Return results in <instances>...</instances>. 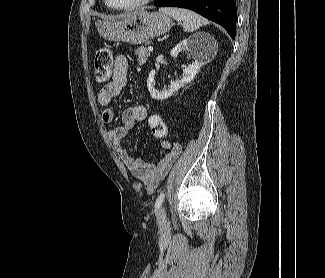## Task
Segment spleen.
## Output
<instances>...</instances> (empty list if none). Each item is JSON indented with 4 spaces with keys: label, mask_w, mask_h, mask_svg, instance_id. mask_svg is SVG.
Returning a JSON list of instances; mask_svg holds the SVG:
<instances>
[{
    "label": "spleen",
    "mask_w": 325,
    "mask_h": 278,
    "mask_svg": "<svg viewBox=\"0 0 325 278\" xmlns=\"http://www.w3.org/2000/svg\"><path fill=\"white\" fill-rule=\"evenodd\" d=\"M159 12L166 14L177 21H182L183 29L186 32H193L209 22L199 14L183 8L162 7Z\"/></svg>",
    "instance_id": "spleen-1"
}]
</instances>
